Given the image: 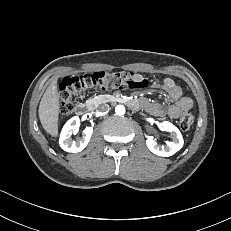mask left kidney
<instances>
[{
	"label": "left kidney",
	"mask_w": 231,
	"mask_h": 231,
	"mask_svg": "<svg viewBox=\"0 0 231 231\" xmlns=\"http://www.w3.org/2000/svg\"><path fill=\"white\" fill-rule=\"evenodd\" d=\"M161 127L163 130L170 133L173 140L171 142H167L166 145H160L157 143L156 139L150 136L146 140V145L152 153L162 157H169L183 147V137L179 129L168 121L162 122Z\"/></svg>",
	"instance_id": "left-kidney-1"
}]
</instances>
